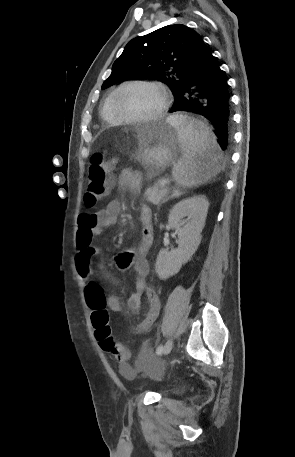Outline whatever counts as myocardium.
Masks as SVG:
<instances>
[{
    "instance_id": "obj_1",
    "label": "myocardium",
    "mask_w": 295,
    "mask_h": 457,
    "mask_svg": "<svg viewBox=\"0 0 295 457\" xmlns=\"http://www.w3.org/2000/svg\"><path fill=\"white\" fill-rule=\"evenodd\" d=\"M136 85L153 86L160 90L163 101H162L161 108L158 110V112H156L153 115L147 116V117H133V116H129L121 111L119 104H118V99H119L121 92L128 87L136 86ZM169 105H170V94H169L168 89L161 82L153 81V80H132V81L125 82V83L121 84L115 90L113 99H112V109H113L114 113L120 119H122L124 122H127V123H148V122L156 121L164 116V114L168 110Z\"/></svg>"
}]
</instances>
